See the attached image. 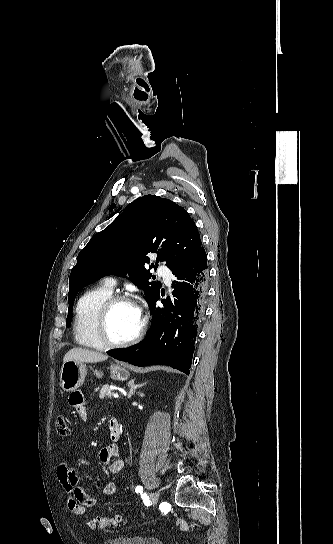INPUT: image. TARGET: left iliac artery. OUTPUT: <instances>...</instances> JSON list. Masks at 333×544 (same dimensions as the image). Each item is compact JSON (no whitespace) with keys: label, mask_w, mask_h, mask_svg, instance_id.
I'll use <instances>...</instances> for the list:
<instances>
[{"label":"left iliac artery","mask_w":333,"mask_h":544,"mask_svg":"<svg viewBox=\"0 0 333 544\" xmlns=\"http://www.w3.org/2000/svg\"><path fill=\"white\" fill-rule=\"evenodd\" d=\"M142 491H143L142 486H137V487L135 488V492H136V493H142Z\"/></svg>","instance_id":"obj_1"}]
</instances>
